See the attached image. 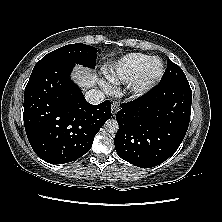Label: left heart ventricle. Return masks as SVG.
I'll list each match as a JSON object with an SVG mask.
<instances>
[{
	"label": "left heart ventricle",
	"instance_id": "left-heart-ventricle-1",
	"mask_svg": "<svg viewBox=\"0 0 222 222\" xmlns=\"http://www.w3.org/2000/svg\"><path fill=\"white\" fill-rule=\"evenodd\" d=\"M160 69V63L158 61H156L151 68L152 73H156L158 72Z\"/></svg>",
	"mask_w": 222,
	"mask_h": 222
}]
</instances>
